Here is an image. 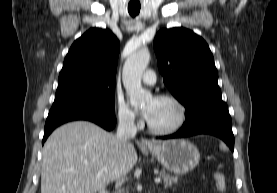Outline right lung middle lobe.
Returning a JSON list of instances; mask_svg holds the SVG:
<instances>
[{"label": "right lung middle lobe", "mask_w": 277, "mask_h": 193, "mask_svg": "<svg viewBox=\"0 0 277 193\" xmlns=\"http://www.w3.org/2000/svg\"><path fill=\"white\" fill-rule=\"evenodd\" d=\"M54 103L85 105L114 115V86H86L59 91Z\"/></svg>", "instance_id": "obj_1"}]
</instances>
